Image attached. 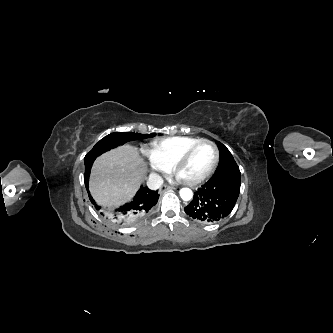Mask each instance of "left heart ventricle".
<instances>
[{"mask_svg":"<svg viewBox=\"0 0 333 333\" xmlns=\"http://www.w3.org/2000/svg\"><path fill=\"white\" fill-rule=\"evenodd\" d=\"M215 160V150L209 144L198 146L181 168L179 177L184 180H192L205 174Z\"/></svg>","mask_w":333,"mask_h":333,"instance_id":"left-heart-ventricle-1","label":"left heart ventricle"}]
</instances>
